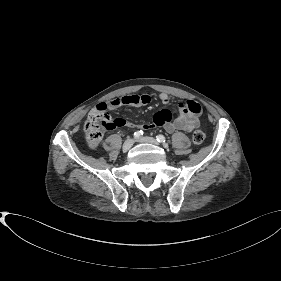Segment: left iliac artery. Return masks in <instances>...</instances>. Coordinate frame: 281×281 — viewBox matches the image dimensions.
<instances>
[{
	"label": "left iliac artery",
	"mask_w": 281,
	"mask_h": 281,
	"mask_svg": "<svg viewBox=\"0 0 281 281\" xmlns=\"http://www.w3.org/2000/svg\"><path fill=\"white\" fill-rule=\"evenodd\" d=\"M156 139H157V141L158 142H160V143H165L166 142V139H165V137L163 136V135H157L156 136Z\"/></svg>",
	"instance_id": "44dca946"
}]
</instances>
